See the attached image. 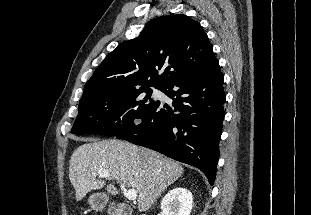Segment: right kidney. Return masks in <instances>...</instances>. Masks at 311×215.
Masks as SVG:
<instances>
[{"mask_svg":"<svg viewBox=\"0 0 311 215\" xmlns=\"http://www.w3.org/2000/svg\"><path fill=\"white\" fill-rule=\"evenodd\" d=\"M192 203V193L185 188L176 187L162 199L161 210L164 215H190Z\"/></svg>","mask_w":311,"mask_h":215,"instance_id":"ca27d5eb","label":"right kidney"}]
</instances>
